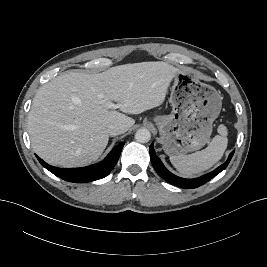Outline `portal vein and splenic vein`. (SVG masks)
Wrapping results in <instances>:
<instances>
[{"label": "portal vein and splenic vein", "mask_w": 267, "mask_h": 267, "mask_svg": "<svg viewBox=\"0 0 267 267\" xmlns=\"http://www.w3.org/2000/svg\"><path fill=\"white\" fill-rule=\"evenodd\" d=\"M108 107H113V104H109Z\"/></svg>", "instance_id": "1"}]
</instances>
